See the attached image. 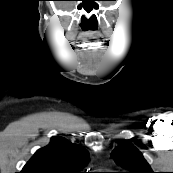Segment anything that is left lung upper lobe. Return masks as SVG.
Here are the masks:
<instances>
[{
    "label": "left lung upper lobe",
    "mask_w": 173,
    "mask_h": 173,
    "mask_svg": "<svg viewBox=\"0 0 173 173\" xmlns=\"http://www.w3.org/2000/svg\"><path fill=\"white\" fill-rule=\"evenodd\" d=\"M112 157L116 163L127 169V173H154L142 154L129 142L118 146Z\"/></svg>",
    "instance_id": "left-lung-upper-lobe-1"
}]
</instances>
